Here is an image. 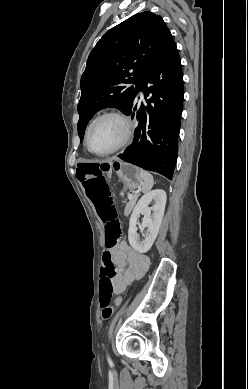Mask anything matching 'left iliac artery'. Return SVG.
<instances>
[{
	"label": "left iliac artery",
	"instance_id": "obj_1",
	"mask_svg": "<svg viewBox=\"0 0 248 389\" xmlns=\"http://www.w3.org/2000/svg\"><path fill=\"white\" fill-rule=\"evenodd\" d=\"M107 360H108V361L110 360L109 356H107Z\"/></svg>",
	"mask_w": 248,
	"mask_h": 389
}]
</instances>
